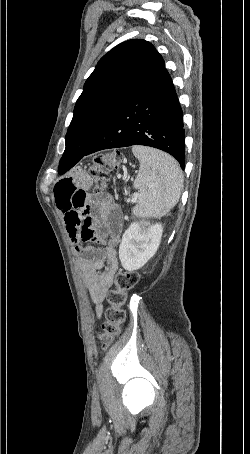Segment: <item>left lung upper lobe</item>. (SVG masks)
Listing matches in <instances>:
<instances>
[{
    "mask_svg": "<svg viewBox=\"0 0 250 454\" xmlns=\"http://www.w3.org/2000/svg\"><path fill=\"white\" fill-rule=\"evenodd\" d=\"M164 68L155 47L141 39L106 53L84 84L65 140V153L83 155L105 123Z\"/></svg>",
    "mask_w": 250,
    "mask_h": 454,
    "instance_id": "obj_1",
    "label": "left lung upper lobe"
}]
</instances>
